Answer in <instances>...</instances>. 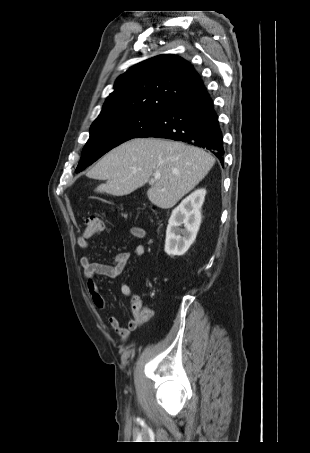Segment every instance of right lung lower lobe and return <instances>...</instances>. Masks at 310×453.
<instances>
[{
  "label": "right lung lower lobe",
  "instance_id": "1",
  "mask_svg": "<svg viewBox=\"0 0 310 453\" xmlns=\"http://www.w3.org/2000/svg\"><path fill=\"white\" fill-rule=\"evenodd\" d=\"M138 137L166 138L206 148L223 163V135L203 83L168 106Z\"/></svg>",
  "mask_w": 310,
  "mask_h": 453
}]
</instances>
